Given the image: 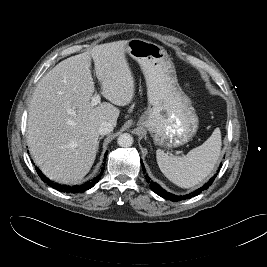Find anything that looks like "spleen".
I'll list each match as a JSON object with an SVG mask.
<instances>
[{
  "label": "spleen",
  "mask_w": 267,
  "mask_h": 267,
  "mask_svg": "<svg viewBox=\"0 0 267 267\" xmlns=\"http://www.w3.org/2000/svg\"><path fill=\"white\" fill-rule=\"evenodd\" d=\"M221 131L216 128L200 146L183 157L156 151V160L161 172L181 188H190L203 181L213 171L221 152Z\"/></svg>",
  "instance_id": "obj_1"
}]
</instances>
